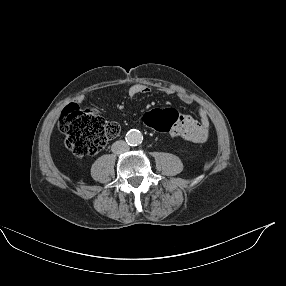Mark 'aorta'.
Instances as JSON below:
<instances>
[{
	"label": "aorta",
	"instance_id": "aorta-1",
	"mask_svg": "<svg viewBox=\"0 0 286 286\" xmlns=\"http://www.w3.org/2000/svg\"><path fill=\"white\" fill-rule=\"evenodd\" d=\"M143 135L139 130L131 129L126 134V141L129 145L136 146L142 143Z\"/></svg>",
	"mask_w": 286,
	"mask_h": 286
}]
</instances>
